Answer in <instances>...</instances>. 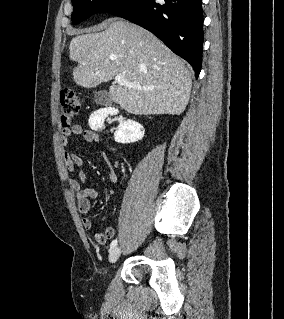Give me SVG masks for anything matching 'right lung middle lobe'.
<instances>
[{
	"instance_id": "right-lung-middle-lobe-1",
	"label": "right lung middle lobe",
	"mask_w": 284,
	"mask_h": 319,
	"mask_svg": "<svg viewBox=\"0 0 284 319\" xmlns=\"http://www.w3.org/2000/svg\"><path fill=\"white\" fill-rule=\"evenodd\" d=\"M131 0H72V21L78 24L99 12H108L129 3Z\"/></svg>"
}]
</instances>
